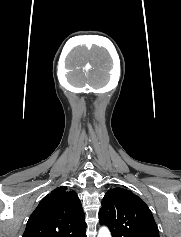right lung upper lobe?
<instances>
[{"label":"right lung upper lobe","mask_w":181,"mask_h":237,"mask_svg":"<svg viewBox=\"0 0 181 237\" xmlns=\"http://www.w3.org/2000/svg\"><path fill=\"white\" fill-rule=\"evenodd\" d=\"M85 214L75 191L61 186L31 214L23 237H86Z\"/></svg>","instance_id":"right-lung-upper-lobe-1"}]
</instances>
